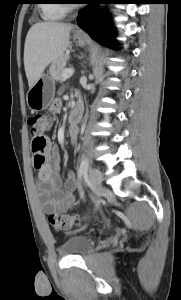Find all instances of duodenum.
I'll return each instance as SVG.
<instances>
[{
	"label": "duodenum",
	"instance_id": "obj_1",
	"mask_svg": "<svg viewBox=\"0 0 181 300\" xmlns=\"http://www.w3.org/2000/svg\"><path fill=\"white\" fill-rule=\"evenodd\" d=\"M83 114V102L77 100L70 115V127L75 129L80 121V118Z\"/></svg>",
	"mask_w": 181,
	"mask_h": 300
}]
</instances>
